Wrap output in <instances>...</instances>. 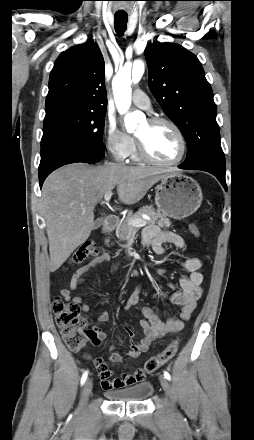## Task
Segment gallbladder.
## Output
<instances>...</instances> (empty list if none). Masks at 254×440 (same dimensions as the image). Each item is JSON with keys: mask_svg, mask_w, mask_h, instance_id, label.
<instances>
[{"mask_svg": "<svg viewBox=\"0 0 254 440\" xmlns=\"http://www.w3.org/2000/svg\"><path fill=\"white\" fill-rule=\"evenodd\" d=\"M102 225V221L100 219H96L94 224V229L99 228Z\"/></svg>", "mask_w": 254, "mask_h": 440, "instance_id": "1", "label": "gallbladder"}]
</instances>
